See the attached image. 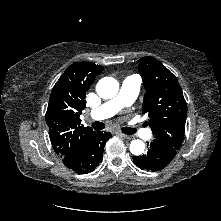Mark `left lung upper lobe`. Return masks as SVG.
<instances>
[{
  "instance_id": "5c2ea615",
  "label": "left lung upper lobe",
  "mask_w": 221,
  "mask_h": 221,
  "mask_svg": "<svg viewBox=\"0 0 221 221\" xmlns=\"http://www.w3.org/2000/svg\"><path fill=\"white\" fill-rule=\"evenodd\" d=\"M146 93L143 112L149 116L154 143L179 150L184 139L187 106L177 78L158 60L147 56L139 60Z\"/></svg>"
}]
</instances>
